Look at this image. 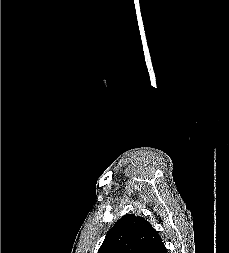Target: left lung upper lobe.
Segmentation results:
<instances>
[{"mask_svg":"<svg viewBox=\"0 0 229 253\" xmlns=\"http://www.w3.org/2000/svg\"><path fill=\"white\" fill-rule=\"evenodd\" d=\"M159 233L143 217L122 216L107 233L98 253H155Z\"/></svg>","mask_w":229,"mask_h":253,"instance_id":"1","label":"left lung upper lobe"}]
</instances>
